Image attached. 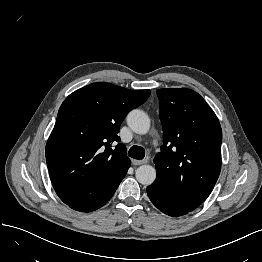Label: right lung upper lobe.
<instances>
[{"instance_id": "obj_1", "label": "right lung upper lobe", "mask_w": 262, "mask_h": 262, "mask_svg": "<svg viewBox=\"0 0 262 262\" xmlns=\"http://www.w3.org/2000/svg\"><path fill=\"white\" fill-rule=\"evenodd\" d=\"M150 90H129L110 83L87 85L62 103L46 144L52 185L70 207L110 199L130 166L126 148L117 144L127 113L143 104Z\"/></svg>"}]
</instances>
